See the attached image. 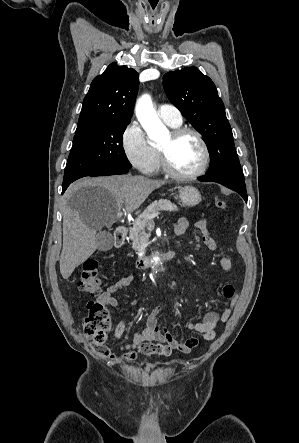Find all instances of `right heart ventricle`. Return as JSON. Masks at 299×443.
<instances>
[{"label":"right heart ventricle","instance_id":"right-heart-ventricle-1","mask_svg":"<svg viewBox=\"0 0 299 443\" xmlns=\"http://www.w3.org/2000/svg\"><path fill=\"white\" fill-rule=\"evenodd\" d=\"M170 127L172 128H177L180 125H174L171 123L166 122ZM153 152H154V157H155V163H154V167L152 171H156L160 168V158H159V151H158V147H152Z\"/></svg>","mask_w":299,"mask_h":443}]
</instances>
